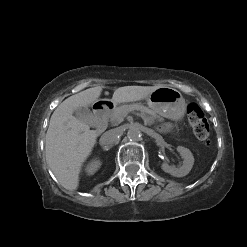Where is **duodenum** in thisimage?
Here are the masks:
<instances>
[{
	"label": "duodenum",
	"instance_id": "obj_1",
	"mask_svg": "<svg viewBox=\"0 0 247 247\" xmlns=\"http://www.w3.org/2000/svg\"><path fill=\"white\" fill-rule=\"evenodd\" d=\"M112 108V103L103 102L99 103L94 109V116L96 120L97 131L102 132L107 124V115Z\"/></svg>",
	"mask_w": 247,
	"mask_h": 247
}]
</instances>
